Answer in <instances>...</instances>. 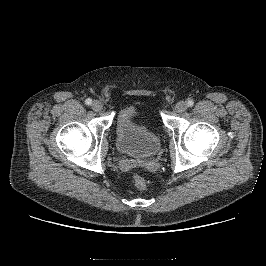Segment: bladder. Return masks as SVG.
<instances>
[{
    "mask_svg": "<svg viewBox=\"0 0 266 266\" xmlns=\"http://www.w3.org/2000/svg\"><path fill=\"white\" fill-rule=\"evenodd\" d=\"M133 107L122 109L117 118L116 145L120 153L148 159L154 157L161 148L159 135L136 118Z\"/></svg>",
    "mask_w": 266,
    "mask_h": 266,
    "instance_id": "31cf9c89",
    "label": "bladder"
}]
</instances>
